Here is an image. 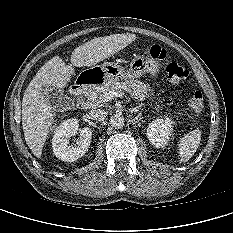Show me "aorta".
<instances>
[{
    "mask_svg": "<svg viewBox=\"0 0 233 233\" xmlns=\"http://www.w3.org/2000/svg\"><path fill=\"white\" fill-rule=\"evenodd\" d=\"M109 122L112 127L121 128L124 125L125 120L120 114H114L111 116Z\"/></svg>",
    "mask_w": 233,
    "mask_h": 233,
    "instance_id": "aorta-1",
    "label": "aorta"
}]
</instances>
